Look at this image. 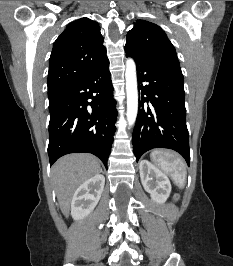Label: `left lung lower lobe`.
Segmentation results:
<instances>
[{
	"label": "left lung lower lobe",
	"instance_id": "1",
	"mask_svg": "<svg viewBox=\"0 0 233 266\" xmlns=\"http://www.w3.org/2000/svg\"><path fill=\"white\" fill-rule=\"evenodd\" d=\"M126 56L136 62L141 91L132 137L136 161L150 149L169 148L179 152L189 165V135L180 64L147 59L127 51Z\"/></svg>",
	"mask_w": 233,
	"mask_h": 266
}]
</instances>
